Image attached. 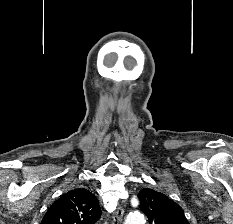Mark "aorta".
<instances>
[{
	"mask_svg": "<svg viewBox=\"0 0 233 224\" xmlns=\"http://www.w3.org/2000/svg\"><path fill=\"white\" fill-rule=\"evenodd\" d=\"M125 224H145V219L140 212H132L127 216Z\"/></svg>",
	"mask_w": 233,
	"mask_h": 224,
	"instance_id": "762f6f07",
	"label": "aorta"
}]
</instances>
